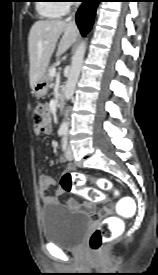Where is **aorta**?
Returning <instances> with one entry per match:
<instances>
[{
	"instance_id": "1",
	"label": "aorta",
	"mask_w": 158,
	"mask_h": 275,
	"mask_svg": "<svg viewBox=\"0 0 158 275\" xmlns=\"http://www.w3.org/2000/svg\"><path fill=\"white\" fill-rule=\"evenodd\" d=\"M86 51V42H82L75 54L72 57L71 67L69 71V75L67 78V82L64 89V96L66 100H69L73 94L76 87V83L78 81L80 71L82 69L84 55ZM60 131L66 133L68 131V123L64 121L60 126Z\"/></svg>"
}]
</instances>
